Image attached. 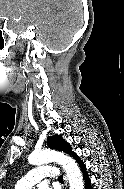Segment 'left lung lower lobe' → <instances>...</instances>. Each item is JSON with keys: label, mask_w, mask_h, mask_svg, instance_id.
Here are the masks:
<instances>
[{"label": "left lung lower lobe", "mask_w": 124, "mask_h": 189, "mask_svg": "<svg viewBox=\"0 0 124 189\" xmlns=\"http://www.w3.org/2000/svg\"><path fill=\"white\" fill-rule=\"evenodd\" d=\"M74 158L78 162V164H79V166L81 168V171L83 173L85 189H92L91 180L89 178V175H88V172H87V168H86L84 162L82 160H80V158L77 155H75Z\"/></svg>", "instance_id": "1"}]
</instances>
